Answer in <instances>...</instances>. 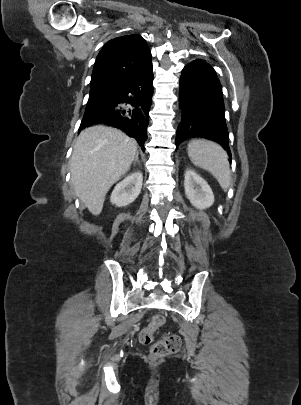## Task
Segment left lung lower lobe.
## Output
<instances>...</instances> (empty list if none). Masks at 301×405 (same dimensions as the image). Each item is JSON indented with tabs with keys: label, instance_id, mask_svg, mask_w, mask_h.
Masks as SVG:
<instances>
[{
	"label": "left lung lower lobe",
	"instance_id": "left-lung-lower-lobe-1",
	"mask_svg": "<svg viewBox=\"0 0 301 405\" xmlns=\"http://www.w3.org/2000/svg\"><path fill=\"white\" fill-rule=\"evenodd\" d=\"M179 101L183 112L176 147L188 138H205L221 145L231 158L222 86L211 65L196 59L184 67Z\"/></svg>",
	"mask_w": 301,
	"mask_h": 405
}]
</instances>
